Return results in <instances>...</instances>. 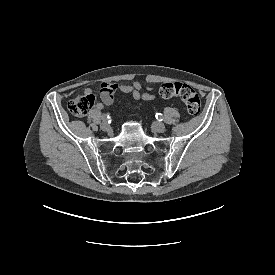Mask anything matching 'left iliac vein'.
Wrapping results in <instances>:
<instances>
[{
    "label": "left iliac vein",
    "mask_w": 275,
    "mask_h": 275,
    "mask_svg": "<svg viewBox=\"0 0 275 275\" xmlns=\"http://www.w3.org/2000/svg\"><path fill=\"white\" fill-rule=\"evenodd\" d=\"M152 127L157 132H163L166 128L165 124H163L162 122H154Z\"/></svg>",
    "instance_id": "obj_1"
}]
</instances>
